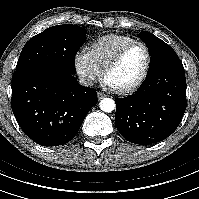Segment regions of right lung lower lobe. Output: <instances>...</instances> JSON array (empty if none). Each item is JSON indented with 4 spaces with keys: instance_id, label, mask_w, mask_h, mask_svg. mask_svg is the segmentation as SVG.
Masks as SVG:
<instances>
[{
    "instance_id": "1",
    "label": "right lung lower lobe",
    "mask_w": 199,
    "mask_h": 199,
    "mask_svg": "<svg viewBox=\"0 0 199 199\" xmlns=\"http://www.w3.org/2000/svg\"><path fill=\"white\" fill-rule=\"evenodd\" d=\"M96 91L56 67L12 77L11 106L22 131L37 144L59 146L78 132L97 103Z\"/></svg>"
}]
</instances>
